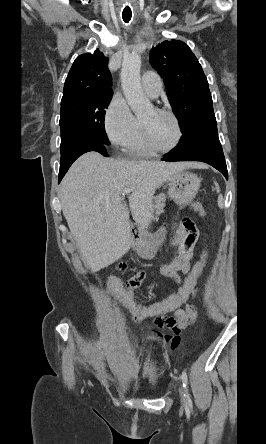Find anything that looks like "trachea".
<instances>
[{"mask_svg": "<svg viewBox=\"0 0 266 444\" xmlns=\"http://www.w3.org/2000/svg\"><path fill=\"white\" fill-rule=\"evenodd\" d=\"M132 17L131 9L127 6L122 13V18L125 23H129Z\"/></svg>", "mask_w": 266, "mask_h": 444, "instance_id": "obj_1", "label": "trachea"}]
</instances>
